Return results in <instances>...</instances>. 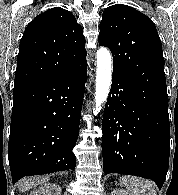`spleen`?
I'll return each mask as SVG.
<instances>
[{
    "label": "spleen",
    "mask_w": 178,
    "mask_h": 195,
    "mask_svg": "<svg viewBox=\"0 0 178 195\" xmlns=\"http://www.w3.org/2000/svg\"><path fill=\"white\" fill-rule=\"evenodd\" d=\"M120 185L131 191L133 195H157L154 182L135 176H122Z\"/></svg>",
    "instance_id": "obj_1"
}]
</instances>
